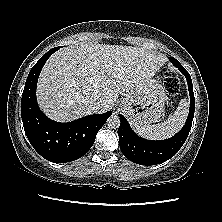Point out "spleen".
<instances>
[{"instance_id":"spleen-1","label":"spleen","mask_w":222,"mask_h":222,"mask_svg":"<svg viewBox=\"0 0 222 222\" xmlns=\"http://www.w3.org/2000/svg\"><path fill=\"white\" fill-rule=\"evenodd\" d=\"M188 101L182 99L172 116L154 125L135 126L136 132L150 140H162L176 134L184 125L188 114Z\"/></svg>"}]
</instances>
